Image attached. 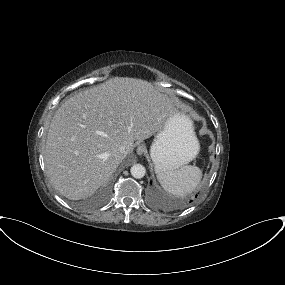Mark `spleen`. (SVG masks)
Returning <instances> with one entry per match:
<instances>
[{
	"mask_svg": "<svg viewBox=\"0 0 285 285\" xmlns=\"http://www.w3.org/2000/svg\"><path fill=\"white\" fill-rule=\"evenodd\" d=\"M157 179L169 194L183 197L192 193L200 184L202 171L197 166L186 165L175 171H158Z\"/></svg>",
	"mask_w": 285,
	"mask_h": 285,
	"instance_id": "1",
	"label": "spleen"
}]
</instances>
